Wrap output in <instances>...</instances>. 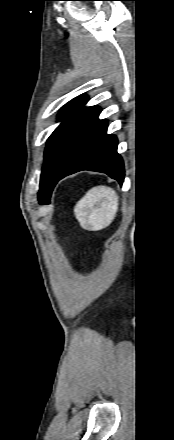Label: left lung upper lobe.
<instances>
[{"instance_id": "left-lung-upper-lobe-1", "label": "left lung upper lobe", "mask_w": 174, "mask_h": 440, "mask_svg": "<svg viewBox=\"0 0 174 440\" xmlns=\"http://www.w3.org/2000/svg\"><path fill=\"white\" fill-rule=\"evenodd\" d=\"M87 101V96H79L64 105L58 115L59 121L62 122L49 137L44 153L38 193L41 204H45L51 196L55 179L64 167L86 123L99 108L84 107Z\"/></svg>"}]
</instances>
